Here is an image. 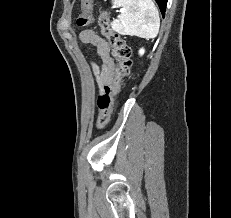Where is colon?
<instances>
[{"label": "colon", "mask_w": 231, "mask_h": 218, "mask_svg": "<svg viewBox=\"0 0 231 218\" xmlns=\"http://www.w3.org/2000/svg\"><path fill=\"white\" fill-rule=\"evenodd\" d=\"M92 0H82L81 13L77 18V25L87 26L93 22ZM97 23L101 29V34L110 43L113 54L118 61L115 77L112 83L104 88L98 97L99 115L96 126L98 129H104L108 124L115 95L119 92L123 79L130 74L132 61L131 49L125 41L112 29L110 17L107 12H102Z\"/></svg>", "instance_id": "5ec220e1"}]
</instances>
